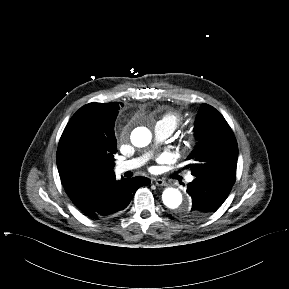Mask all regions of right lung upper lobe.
Returning <instances> with one entry per match:
<instances>
[{
    "label": "right lung upper lobe",
    "instance_id": "1",
    "mask_svg": "<svg viewBox=\"0 0 289 289\" xmlns=\"http://www.w3.org/2000/svg\"><path fill=\"white\" fill-rule=\"evenodd\" d=\"M56 161L65 191L78 208L89 207L94 191L101 185L115 180L113 160L102 162L77 160L67 153L61 140Z\"/></svg>",
    "mask_w": 289,
    "mask_h": 289
}]
</instances>
